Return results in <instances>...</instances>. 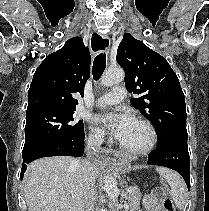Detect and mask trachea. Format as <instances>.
Masks as SVG:
<instances>
[{
  "instance_id": "obj_1",
  "label": "trachea",
  "mask_w": 209,
  "mask_h": 211,
  "mask_svg": "<svg viewBox=\"0 0 209 211\" xmlns=\"http://www.w3.org/2000/svg\"><path fill=\"white\" fill-rule=\"evenodd\" d=\"M105 68H106V54L100 53L95 57L93 62L92 74L94 80H98L100 78Z\"/></svg>"
}]
</instances>
